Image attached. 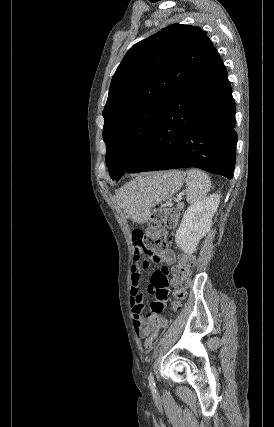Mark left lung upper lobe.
<instances>
[{
  "label": "left lung upper lobe",
  "mask_w": 274,
  "mask_h": 427,
  "mask_svg": "<svg viewBox=\"0 0 274 427\" xmlns=\"http://www.w3.org/2000/svg\"><path fill=\"white\" fill-rule=\"evenodd\" d=\"M212 48L201 28L173 24L126 53L103 110L111 177L123 174L142 154L164 111Z\"/></svg>",
  "instance_id": "obj_1"
}]
</instances>
